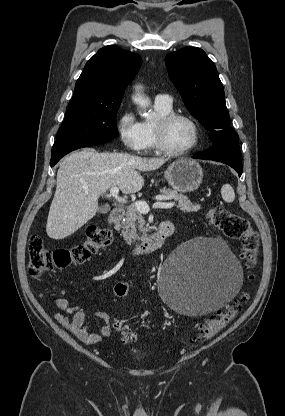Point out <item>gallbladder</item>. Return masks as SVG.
Returning a JSON list of instances; mask_svg holds the SVG:
<instances>
[{"label":"gallbladder","instance_id":"1","mask_svg":"<svg viewBox=\"0 0 285 416\" xmlns=\"http://www.w3.org/2000/svg\"><path fill=\"white\" fill-rule=\"evenodd\" d=\"M97 212H99V214H108V212H110L109 204H105V206H99Z\"/></svg>","mask_w":285,"mask_h":416}]
</instances>
